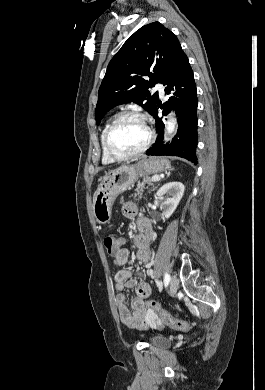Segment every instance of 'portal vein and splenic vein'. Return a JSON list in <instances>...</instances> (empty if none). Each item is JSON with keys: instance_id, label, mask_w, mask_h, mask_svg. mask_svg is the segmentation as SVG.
I'll list each match as a JSON object with an SVG mask.
<instances>
[{"instance_id": "obj_1", "label": "portal vein and splenic vein", "mask_w": 265, "mask_h": 390, "mask_svg": "<svg viewBox=\"0 0 265 390\" xmlns=\"http://www.w3.org/2000/svg\"><path fill=\"white\" fill-rule=\"evenodd\" d=\"M160 180V177L159 176H153L152 177V181H159Z\"/></svg>"}]
</instances>
